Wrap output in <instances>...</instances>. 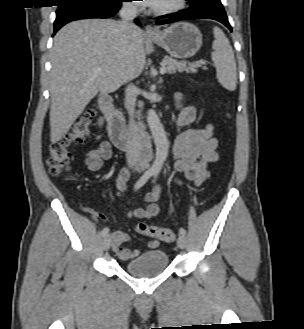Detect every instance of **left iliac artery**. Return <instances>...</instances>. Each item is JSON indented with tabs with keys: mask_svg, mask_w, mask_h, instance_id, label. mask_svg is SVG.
Here are the masks:
<instances>
[{
	"mask_svg": "<svg viewBox=\"0 0 304 329\" xmlns=\"http://www.w3.org/2000/svg\"><path fill=\"white\" fill-rule=\"evenodd\" d=\"M156 178H157V174L154 175L153 182H155ZM179 232H180V234H182L184 236L186 235V230L184 228H182V227L179 229Z\"/></svg>",
	"mask_w": 304,
	"mask_h": 329,
	"instance_id": "left-iliac-artery-1",
	"label": "left iliac artery"
}]
</instances>
